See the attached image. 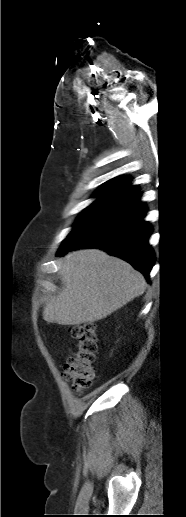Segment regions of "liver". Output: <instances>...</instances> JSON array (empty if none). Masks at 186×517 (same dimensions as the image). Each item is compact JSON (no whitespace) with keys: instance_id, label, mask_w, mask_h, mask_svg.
Here are the masks:
<instances>
[{"instance_id":"6515ba94","label":"liver","mask_w":186,"mask_h":517,"mask_svg":"<svg viewBox=\"0 0 186 517\" xmlns=\"http://www.w3.org/2000/svg\"><path fill=\"white\" fill-rule=\"evenodd\" d=\"M59 273L63 289L46 301L43 310L48 323L80 325L101 320L146 289L140 272L98 249L69 252Z\"/></svg>"}]
</instances>
